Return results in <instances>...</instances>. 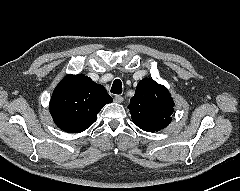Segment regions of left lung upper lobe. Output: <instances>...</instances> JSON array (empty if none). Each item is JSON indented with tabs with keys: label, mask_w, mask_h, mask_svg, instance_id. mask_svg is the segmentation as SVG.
Listing matches in <instances>:
<instances>
[{
	"label": "left lung upper lobe",
	"mask_w": 240,
	"mask_h": 191,
	"mask_svg": "<svg viewBox=\"0 0 240 191\" xmlns=\"http://www.w3.org/2000/svg\"><path fill=\"white\" fill-rule=\"evenodd\" d=\"M174 101L163 85L149 78L141 80L128 106L132 121L147 132L167 127L174 111Z\"/></svg>",
	"instance_id": "obj_1"
}]
</instances>
